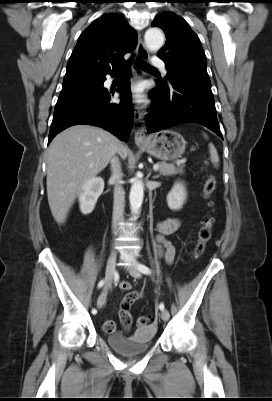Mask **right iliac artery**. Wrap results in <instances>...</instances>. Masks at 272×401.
<instances>
[{"instance_id": "1", "label": "right iliac artery", "mask_w": 272, "mask_h": 401, "mask_svg": "<svg viewBox=\"0 0 272 401\" xmlns=\"http://www.w3.org/2000/svg\"><path fill=\"white\" fill-rule=\"evenodd\" d=\"M103 285H104V280H101V281L98 283V288H101ZM99 300H100V298H99ZM92 313H93V314H96V313H97V310H96V309H92Z\"/></svg>"}]
</instances>
